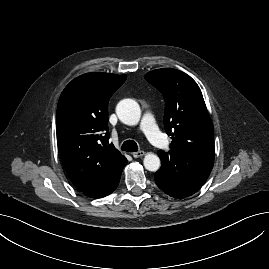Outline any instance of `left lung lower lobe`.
Here are the masks:
<instances>
[{
    "label": "left lung lower lobe",
    "mask_w": 269,
    "mask_h": 269,
    "mask_svg": "<svg viewBox=\"0 0 269 269\" xmlns=\"http://www.w3.org/2000/svg\"><path fill=\"white\" fill-rule=\"evenodd\" d=\"M161 168L155 173L157 186L175 198H184L197 192L207 180L213 161L172 151H158Z\"/></svg>",
    "instance_id": "0a47b994"
}]
</instances>
